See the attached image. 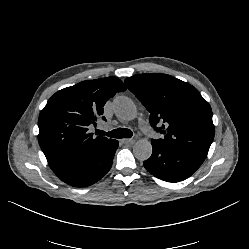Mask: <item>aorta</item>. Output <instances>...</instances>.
Instances as JSON below:
<instances>
[{"mask_svg":"<svg viewBox=\"0 0 249 249\" xmlns=\"http://www.w3.org/2000/svg\"><path fill=\"white\" fill-rule=\"evenodd\" d=\"M113 109L116 116L121 120L129 121L137 116L136 105L126 96L116 97L113 101ZM133 154L140 161L149 159L152 154V145L150 141L147 139L136 141L133 146Z\"/></svg>","mask_w":249,"mask_h":249,"instance_id":"762f6f07","label":"aorta"}]
</instances>
